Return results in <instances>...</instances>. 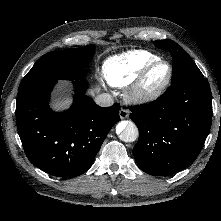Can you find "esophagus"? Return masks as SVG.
Listing matches in <instances>:
<instances>
[{
	"mask_svg": "<svg viewBox=\"0 0 221 221\" xmlns=\"http://www.w3.org/2000/svg\"><path fill=\"white\" fill-rule=\"evenodd\" d=\"M119 116L121 119H126L129 117V111L126 108L121 107L119 110Z\"/></svg>",
	"mask_w": 221,
	"mask_h": 221,
	"instance_id": "1",
	"label": "esophagus"
}]
</instances>
